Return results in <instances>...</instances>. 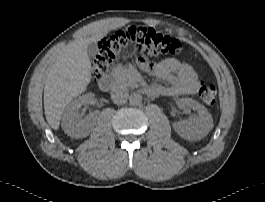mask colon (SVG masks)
I'll return each mask as SVG.
<instances>
[{"instance_id":"5ec220e1","label":"colon","mask_w":265,"mask_h":202,"mask_svg":"<svg viewBox=\"0 0 265 202\" xmlns=\"http://www.w3.org/2000/svg\"><path fill=\"white\" fill-rule=\"evenodd\" d=\"M132 48L137 54V62L143 68L152 67V59L163 55H176L181 52V42L153 28L129 27L104 36L92 59L91 78L97 82L110 70L119 58L127 57V49ZM198 96L208 107L216 104L217 89L215 85L200 81Z\"/></svg>"}]
</instances>
